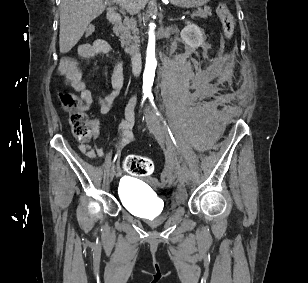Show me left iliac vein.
Returning a JSON list of instances; mask_svg holds the SVG:
<instances>
[{"label":"left iliac vein","instance_id":"1","mask_svg":"<svg viewBox=\"0 0 308 283\" xmlns=\"http://www.w3.org/2000/svg\"><path fill=\"white\" fill-rule=\"evenodd\" d=\"M147 125L149 130L157 137H160V131L157 126V124L154 122V120L151 119V117L147 116ZM181 179L185 182H189L191 180V172L188 169L187 166H183L181 170Z\"/></svg>","mask_w":308,"mask_h":283}]
</instances>
